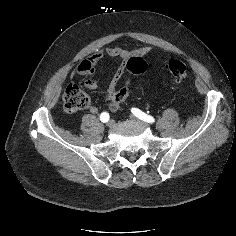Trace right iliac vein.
<instances>
[{
    "label": "right iliac vein",
    "instance_id": "63e3f726",
    "mask_svg": "<svg viewBox=\"0 0 236 236\" xmlns=\"http://www.w3.org/2000/svg\"><path fill=\"white\" fill-rule=\"evenodd\" d=\"M107 126L109 128L113 127L114 126V121L113 120H110L108 123H107Z\"/></svg>",
    "mask_w": 236,
    "mask_h": 236
}]
</instances>
